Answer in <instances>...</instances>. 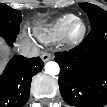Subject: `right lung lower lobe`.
<instances>
[{"label": "right lung lower lobe", "mask_w": 107, "mask_h": 107, "mask_svg": "<svg viewBox=\"0 0 107 107\" xmlns=\"http://www.w3.org/2000/svg\"><path fill=\"white\" fill-rule=\"evenodd\" d=\"M13 43L16 34H0ZM44 63L39 57H13L0 77V107H21L30 94L32 77L42 70Z\"/></svg>", "instance_id": "obj_1"}]
</instances>
